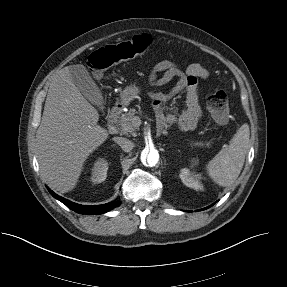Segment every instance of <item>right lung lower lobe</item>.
Instances as JSON below:
<instances>
[{
  "mask_svg": "<svg viewBox=\"0 0 287 287\" xmlns=\"http://www.w3.org/2000/svg\"><path fill=\"white\" fill-rule=\"evenodd\" d=\"M48 190L54 198L58 199L63 204H65L68 208H70V209H72L75 212L80 213V214H102V213H106V212L112 210L113 208L117 207L120 204L119 201H115V202H110L107 204L96 205V206L79 205V204L73 203L67 199H64V198L58 196L57 194H55L50 189H48Z\"/></svg>",
  "mask_w": 287,
  "mask_h": 287,
  "instance_id": "right-lung-lower-lobe-1",
  "label": "right lung lower lobe"
}]
</instances>
